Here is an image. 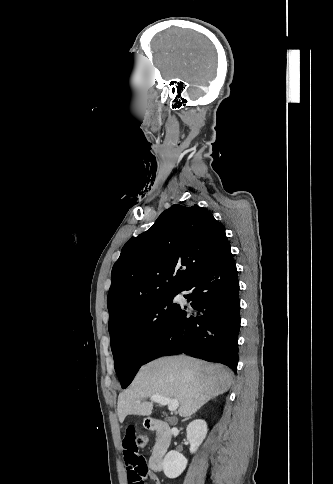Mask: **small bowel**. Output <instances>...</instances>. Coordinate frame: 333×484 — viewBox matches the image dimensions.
<instances>
[{
	"instance_id": "c3829d8e",
	"label": "small bowel",
	"mask_w": 333,
	"mask_h": 484,
	"mask_svg": "<svg viewBox=\"0 0 333 484\" xmlns=\"http://www.w3.org/2000/svg\"><path fill=\"white\" fill-rule=\"evenodd\" d=\"M122 446L128 484H145V478L160 484L156 475L148 468L146 459L139 453L135 428L132 425L126 427Z\"/></svg>"
}]
</instances>
